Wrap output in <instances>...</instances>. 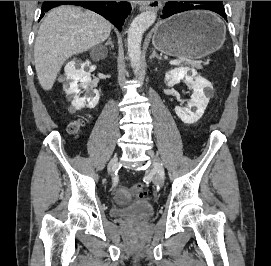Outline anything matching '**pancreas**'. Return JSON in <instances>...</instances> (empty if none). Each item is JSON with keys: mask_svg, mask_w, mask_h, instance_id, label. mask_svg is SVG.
<instances>
[{"mask_svg": "<svg viewBox=\"0 0 271 266\" xmlns=\"http://www.w3.org/2000/svg\"><path fill=\"white\" fill-rule=\"evenodd\" d=\"M189 64H191L192 67H196L197 69H202V66L200 64H192L191 62H188Z\"/></svg>", "mask_w": 271, "mask_h": 266, "instance_id": "pancreas-1", "label": "pancreas"}]
</instances>
